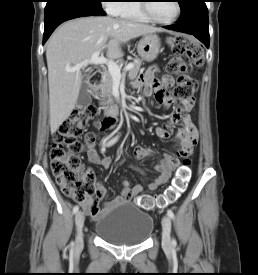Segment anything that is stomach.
<instances>
[{"instance_id": "stomach-1", "label": "stomach", "mask_w": 258, "mask_h": 275, "mask_svg": "<svg viewBox=\"0 0 258 275\" xmlns=\"http://www.w3.org/2000/svg\"><path fill=\"white\" fill-rule=\"evenodd\" d=\"M161 50L160 38L156 34L144 35L137 46V52L142 60L147 62L154 61Z\"/></svg>"}]
</instances>
